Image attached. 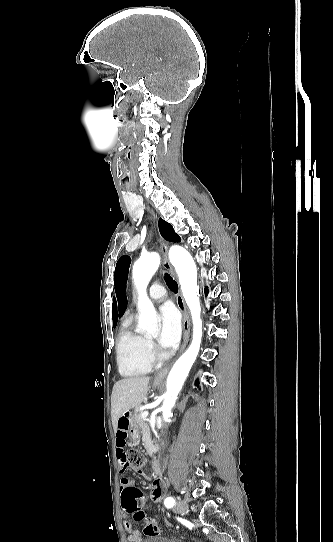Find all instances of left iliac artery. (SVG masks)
<instances>
[{
    "label": "left iliac artery",
    "instance_id": "44dca946",
    "mask_svg": "<svg viewBox=\"0 0 333 542\" xmlns=\"http://www.w3.org/2000/svg\"><path fill=\"white\" fill-rule=\"evenodd\" d=\"M164 504L166 507L173 506L175 504V500L172 497H167L164 501Z\"/></svg>",
    "mask_w": 333,
    "mask_h": 542
}]
</instances>
